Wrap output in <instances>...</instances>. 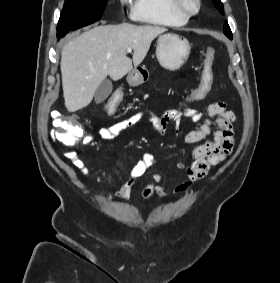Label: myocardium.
<instances>
[{
    "instance_id": "obj_1",
    "label": "myocardium",
    "mask_w": 280,
    "mask_h": 283,
    "mask_svg": "<svg viewBox=\"0 0 280 283\" xmlns=\"http://www.w3.org/2000/svg\"><path fill=\"white\" fill-rule=\"evenodd\" d=\"M174 3L188 17L197 15L201 10V0H174Z\"/></svg>"
}]
</instances>
